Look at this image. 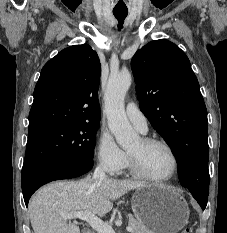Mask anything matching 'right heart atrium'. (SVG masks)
<instances>
[{"instance_id":"1","label":"right heart atrium","mask_w":227,"mask_h":233,"mask_svg":"<svg viewBox=\"0 0 227 233\" xmlns=\"http://www.w3.org/2000/svg\"><path fill=\"white\" fill-rule=\"evenodd\" d=\"M95 154L99 165L110 174L120 173L127 164V154L106 128L98 133Z\"/></svg>"}]
</instances>
